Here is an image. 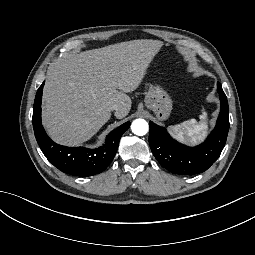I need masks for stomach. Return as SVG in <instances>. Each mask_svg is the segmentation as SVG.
I'll return each mask as SVG.
<instances>
[{
	"instance_id": "1",
	"label": "stomach",
	"mask_w": 255,
	"mask_h": 255,
	"mask_svg": "<svg viewBox=\"0 0 255 255\" xmlns=\"http://www.w3.org/2000/svg\"><path fill=\"white\" fill-rule=\"evenodd\" d=\"M144 102L159 120L167 119L172 111V99L159 85H149Z\"/></svg>"
}]
</instances>
